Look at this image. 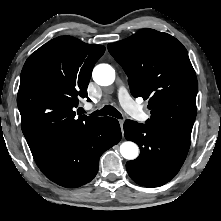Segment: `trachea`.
Listing matches in <instances>:
<instances>
[{
    "label": "trachea",
    "mask_w": 221,
    "mask_h": 221,
    "mask_svg": "<svg viewBox=\"0 0 221 221\" xmlns=\"http://www.w3.org/2000/svg\"><path fill=\"white\" fill-rule=\"evenodd\" d=\"M110 115L118 119H122L121 113L111 105H106L100 110H96L92 113V116H106Z\"/></svg>",
    "instance_id": "trachea-1"
}]
</instances>
